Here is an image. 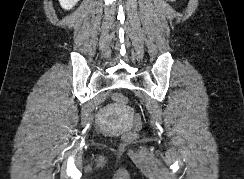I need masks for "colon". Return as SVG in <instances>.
Wrapping results in <instances>:
<instances>
[{"mask_svg":"<svg viewBox=\"0 0 244 179\" xmlns=\"http://www.w3.org/2000/svg\"><path fill=\"white\" fill-rule=\"evenodd\" d=\"M113 101H117L121 104H129L128 96H123L122 93H113L112 94ZM134 125H132V130H139V125H143V120H140V116L138 112L134 113L133 116ZM124 137H121V142H134V138L138 137L137 133H124Z\"/></svg>","mask_w":244,"mask_h":179,"instance_id":"obj_1","label":"colon"}]
</instances>
